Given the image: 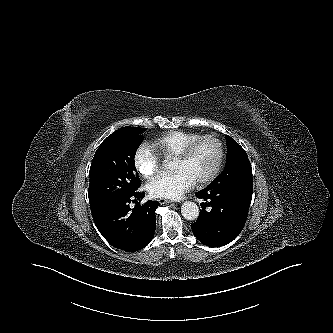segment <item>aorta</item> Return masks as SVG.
Segmentation results:
<instances>
[{
    "label": "aorta",
    "instance_id": "obj_1",
    "mask_svg": "<svg viewBox=\"0 0 333 333\" xmlns=\"http://www.w3.org/2000/svg\"><path fill=\"white\" fill-rule=\"evenodd\" d=\"M182 216L187 220H195L199 216V207L196 203L185 201L181 206Z\"/></svg>",
    "mask_w": 333,
    "mask_h": 333
}]
</instances>
